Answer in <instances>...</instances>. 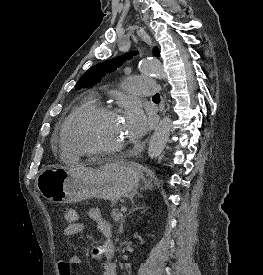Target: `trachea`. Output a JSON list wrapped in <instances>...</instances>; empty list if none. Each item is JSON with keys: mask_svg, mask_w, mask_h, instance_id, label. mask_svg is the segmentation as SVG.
I'll return each instance as SVG.
<instances>
[{"mask_svg": "<svg viewBox=\"0 0 263 275\" xmlns=\"http://www.w3.org/2000/svg\"><path fill=\"white\" fill-rule=\"evenodd\" d=\"M153 99H160V95L157 93L153 96Z\"/></svg>", "mask_w": 263, "mask_h": 275, "instance_id": "obj_1", "label": "trachea"}]
</instances>
